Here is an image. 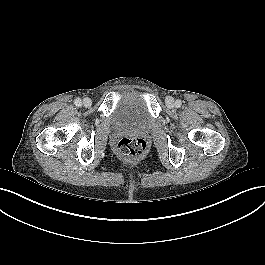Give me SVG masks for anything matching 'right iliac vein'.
<instances>
[{
	"mask_svg": "<svg viewBox=\"0 0 265 265\" xmlns=\"http://www.w3.org/2000/svg\"><path fill=\"white\" fill-rule=\"evenodd\" d=\"M91 104H92V100H91L90 98H84V99H83V105H84L85 107H90Z\"/></svg>",
	"mask_w": 265,
	"mask_h": 265,
	"instance_id": "63e3f726",
	"label": "right iliac vein"
}]
</instances>
